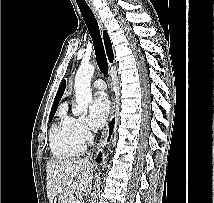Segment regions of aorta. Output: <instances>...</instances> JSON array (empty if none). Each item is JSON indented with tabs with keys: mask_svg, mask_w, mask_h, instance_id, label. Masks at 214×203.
Masks as SVG:
<instances>
[{
	"mask_svg": "<svg viewBox=\"0 0 214 203\" xmlns=\"http://www.w3.org/2000/svg\"><path fill=\"white\" fill-rule=\"evenodd\" d=\"M95 67L92 64H81L76 76H75V95H76V101L77 105L72 110V113L74 116H79L83 113L87 112L88 105L92 99V93L90 90V83L91 79L94 75ZM106 158L103 159V167H105L106 164Z\"/></svg>",
	"mask_w": 214,
	"mask_h": 203,
	"instance_id": "762f6f07",
	"label": "aorta"
}]
</instances>
